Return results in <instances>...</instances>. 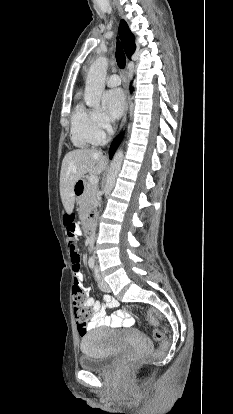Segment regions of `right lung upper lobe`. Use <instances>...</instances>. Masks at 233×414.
<instances>
[{"label":"right lung upper lobe","instance_id":"obj_1","mask_svg":"<svg viewBox=\"0 0 233 414\" xmlns=\"http://www.w3.org/2000/svg\"><path fill=\"white\" fill-rule=\"evenodd\" d=\"M119 33L121 36V40H122L126 55L128 58H131V55L134 53L136 49L135 38H134V35L131 33L127 23L124 20H121L120 22Z\"/></svg>","mask_w":233,"mask_h":414}]
</instances>
